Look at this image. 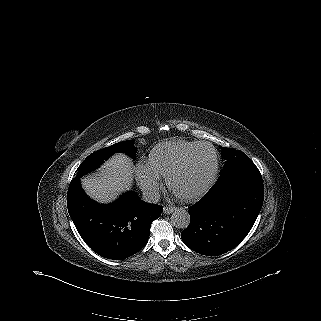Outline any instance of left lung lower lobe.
Here are the masks:
<instances>
[{
    "label": "left lung lower lobe",
    "instance_id": "obj_1",
    "mask_svg": "<svg viewBox=\"0 0 321 321\" xmlns=\"http://www.w3.org/2000/svg\"><path fill=\"white\" fill-rule=\"evenodd\" d=\"M263 199L262 177L251 160L221 170L205 196L189 207L191 221L181 233L183 242L207 256L230 251L253 227Z\"/></svg>",
    "mask_w": 321,
    "mask_h": 321
}]
</instances>
